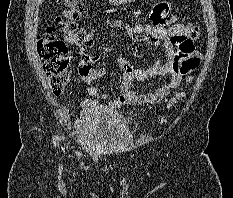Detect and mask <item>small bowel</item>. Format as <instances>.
<instances>
[{
  "mask_svg": "<svg viewBox=\"0 0 233 198\" xmlns=\"http://www.w3.org/2000/svg\"><path fill=\"white\" fill-rule=\"evenodd\" d=\"M111 28L124 32L135 42H143L160 47L163 57L148 68H136L126 58H118L116 66L122 73L123 80L120 85V93L115 98L110 99V95L101 93L92 86L94 80L105 76L107 73V70L103 67H93L100 61V57L87 53L85 48L82 47L80 50L81 64L79 66L80 82L87 86V91L92 96L90 99L81 100L80 106L85 110L103 109L113 112L123 105L157 103L177 88L182 81L183 75L174 68L177 57L187 54L198 55L195 53L194 48L191 50L185 49L186 25L177 22L176 16L171 13L170 6L166 2L155 5L151 13L143 16L142 23L131 25L124 21L116 20L111 24ZM93 44L94 41L92 42ZM155 76H169V81L157 89L144 94H138L135 91L134 82ZM108 99L110 100L105 105H101L98 101Z\"/></svg>",
  "mask_w": 233,
  "mask_h": 198,
  "instance_id": "obj_1",
  "label": "small bowel"
}]
</instances>
